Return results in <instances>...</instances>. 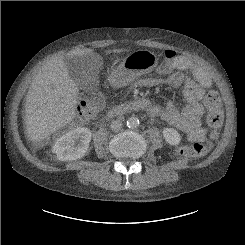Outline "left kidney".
<instances>
[{"instance_id":"obj_1","label":"left kidney","mask_w":245,"mask_h":245,"mask_svg":"<svg viewBox=\"0 0 245 245\" xmlns=\"http://www.w3.org/2000/svg\"><path fill=\"white\" fill-rule=\"evenodd\" d=\"M163 137L166 140L167 143L170 145H178L181 141L180 134L178 131L174 128H164L163 131Z\"/></svg>"}]
</instances>
